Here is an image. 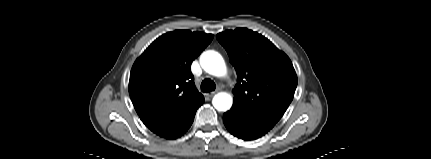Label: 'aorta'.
<instances>
[{"label": "aorta", "instance_id": "obj_1", "mask_svg": "<svg viewBox=\"0 0 431 159\" xmlns=\"http://www.w3.org/2000/svg\"><path fill=\"white\" fill-rule=\"evenodd\" d=\"M201 67L209 74L222 77L226 75V65L223 57L216 51L209 50L200 56ZM214 108L218 111H227L233 104V98L230 94L220 92L212 100Z\"/></svg>", "mask_w": 431, "mask_h": 159}]
</instances>
